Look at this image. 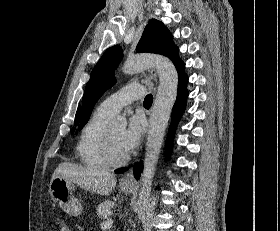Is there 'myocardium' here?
<instances>
[{"label":"myocardium","instance_id":"obj_1","mask_svg":"<svg viewBox=\"0 0 280 231\" xmlns=\"http://www.w3.org/2000/svg\"><path fill=\"white\" fill-rule=\"evenodd\" d=\"M102 151L105 160L109 165L117 166L125 163L128 160L127 155L116 156L113 152L109 129L106 128L102 138Z\"/></svg>","mask_w":280,"mask_h":231}]
</instances>
